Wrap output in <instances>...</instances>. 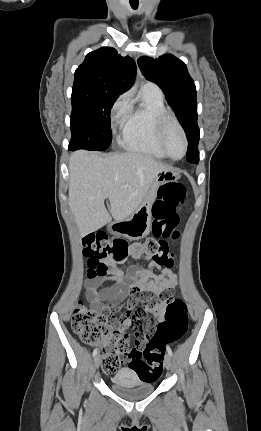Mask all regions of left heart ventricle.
<instances>
[{
	"mask_svg": "<svg viewBox=\"0 0 261 431\" xmlns=\"http://www.w3.org/2000/svg\"><path fill=\"white\" fill-rule=\"evenodd\" d=\"M165 145L169 154L173 157H180L184 151V142L179 130L170 125L165 134Z\"/></svg>",
	"mask_w": 261,
	"mask_h": 431,
	"instance_id": "1",
	"label": "left heart ventricle"
}]
</instances>
